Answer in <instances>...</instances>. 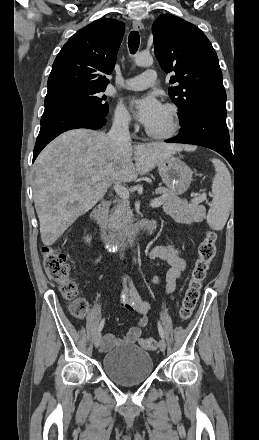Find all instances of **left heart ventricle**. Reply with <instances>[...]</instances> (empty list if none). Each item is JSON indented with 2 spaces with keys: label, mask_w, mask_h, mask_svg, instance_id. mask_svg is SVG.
<instances>
[{
  "label": "left heart ventricle",
  "mask_w": 259,
  "mask_h": 440,
  "mask_svg": "<svg viewBox=\"0 0 259 440\" xmlns=\"http://www.w3.org/2000/svg\"><path fill=\"white\" fill-rule=\"evenodd\" d=\"M168 126H169V116L167 111L163 108L160 117L148 128L155 132H163L168 128Z\"/></svg>",
  "instance_id": "left-heart-ventricle-1"
}]
</instances>
